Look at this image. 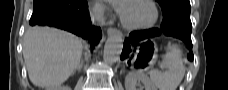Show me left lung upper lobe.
I'll list each match as a JSON object with an SVG mask.
<instances>
[{"label":"left lung upper lobe","instance_id":"5c2ea615","mask_svg":"<svg viewBox=\"0 0 228 90\" xmlns=\"http://www.w3.org/2000/svg\"><path fill=\"white\" fill-rule=\"evenodd\" d=\"M163 12L164 24L191 27L189 0H157Z\"/></svg>","mask_w":228,"mask_h":90}]
</instances>
